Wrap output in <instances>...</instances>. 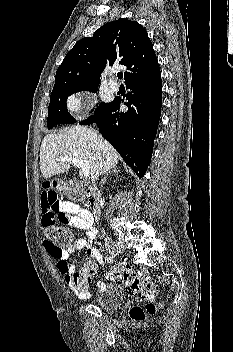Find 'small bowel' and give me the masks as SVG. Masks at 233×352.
Masks as SVG:
<instances>
[{
	"label": "small bowel",
	"mask_w": 233,
	"mask_h": 352,
	"mask_svg": "<svg viewBox=\"0 0 233 352\" xmlns=\"http://www.w3.org/2000/svg\"><path fill=\"white\" fill-rule=\"evenodd\" d=\"M60 187V183L55 180L44 182L40 197L42 223L47 221H59L62 224L83 231L86 238L79 239L74 245L66 248H58L44 241V248L46 252L57 261V269L64 275L65 281L73 293L80 299H88L90 293L79 292L73 284L72 275L75 272V266L70 262V255L85 249L87 255L91 257L98 266H102V256L94 246L97 231L93 227V216L88 210L81 209L74 202L59 199L58 191ZM97 288L103 290L105 284L98 282Z\"/></svg>",
	"instance_id": "c3829d8e"
}]
</instances>
